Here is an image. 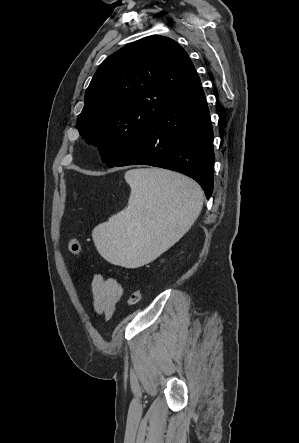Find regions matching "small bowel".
Listing matches in <instances>:
<instances>
[{
	"instance_id": "c3829d8e",
	"label": "small bowel",
	"mask_w": 299,
	"mask_h": 443,
	"mask_svg": "<svg viewBox=\"0 0 299 443\" xmlns=\"http://www.w3.org/2000/svg\"><path fill=\"white\" fill-rule=\"evenodd\" d=\"M90 285L95 312L105 319H110L122 297V284L114 277H105L100 273H95Z\"/></svg>"
}]
</instances>
